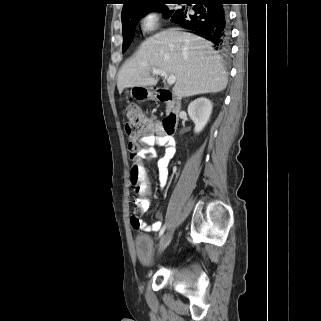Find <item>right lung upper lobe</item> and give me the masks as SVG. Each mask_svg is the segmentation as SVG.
Instances as JSON below:
<instances>
[{
    "label": "right lung upper lobe",
    "instance_id": "cb5924a9",
    "mask_svg": "<svg viewBox=\"0 0 321 321\" xmlns=\"http://www.w3.org/2000/svg\"><path fill=\"white\" fill-rule=\"evenodd\" d=\"M165 0H123L124 6L121 17L142 10L145 7L154 5Z\"/></svg>",
    "mask_w": 321,
    "mask_h": 321
}]
</instances>
